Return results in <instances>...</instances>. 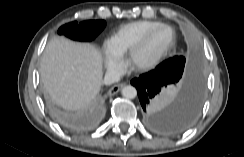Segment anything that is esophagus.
I'll list each match as a JSON object with an SVG mask.
<instances>
[{
  "mask_svg": "<svg viewBox=\"0 0 244 157\" xmlns=\"http://www.w3.org/2000/svg\"><path fill=\"white\" fill-rule=\"evenodd\" d=\"M124 86H125V83L116 84L109 89L108 94L114 95V94L118 93Z\"/></svg>",
  "mask_w": 244,
  "mask_h": 157,
  "instance_id": "34e87169",
  "label": "esophagus"
}]
</instances>
